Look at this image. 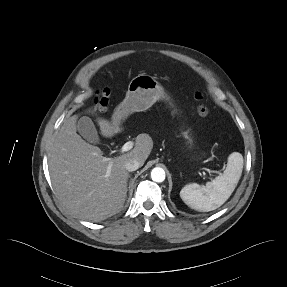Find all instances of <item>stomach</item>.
I'll list each match as a JSON object with an SVG mask.
<instances>
[{"mask_svg": "<svg viewBox=\"0 0 287 287\" xmlns=\"http://www.w3.org/2000/svg\"><path fill=\"white\" fill-rule=\"evenodd\" d=\"M159 99L169 100L162 85L150 75L139 74L130 81L126 97L115 109L112 121L120 123L133 112L147 110ZM184 137L192 141L188 132H184Z\"/></svg>", "mask_w": 287, "mask_h": 287, "instance_id": "1", "label": "stomach"}]
</instances>
